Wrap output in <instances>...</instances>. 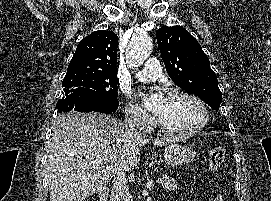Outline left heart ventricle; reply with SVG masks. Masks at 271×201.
Here are the masks:
<instances>
[{"instance_id":"left-heart-ventricle-1","label":"left heart ventricle","mask_w":271,"mask_h":201,"mask_svg":"<svg viewBox=\"0 0 271 201\" xmlns=\"http://www.w3.org/2000/svg\"><path fill=\"white\" fill-rule=\"evenodd\" d=\"M158 118L172 130L186 131L201 122L202 114L195 102L188 98L177 96L165 98L162 112Z\"/></svg>"}]
</instances>
